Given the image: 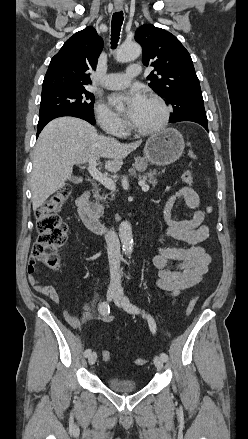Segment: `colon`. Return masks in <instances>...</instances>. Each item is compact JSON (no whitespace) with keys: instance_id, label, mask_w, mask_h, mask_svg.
I'll list each match as a JSON object with an SVG mask.
<instances>
[{"instance_id":"obj_1","label":"colon","mask_w":248,"mask_h":439,"mask_svg":"<svg viewBox=\"0 0 248 439\" xmlns=\"http://www.w3.org/2000/svg\"><path fill=\"white\" fill-rule=\"evenodd\" d=\"M181 179L186 186L194 184V174L192 170L186 169ZM71 194V188L64 185L53 195H51L37 210V229L38 238L33 247V256L45 264L50 269H58L60 266V256L58 250L67 241V226L59 216V211L67 202ZM197 295H194L186 308V314L190 315L195 308ZM101 357L104 361L111 360L109 351L102 350ZM137 365H143L146 360L138 358Z\"/></svg>"}]
</instances>
